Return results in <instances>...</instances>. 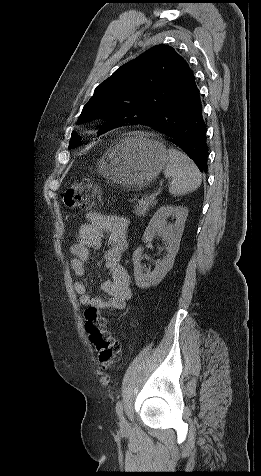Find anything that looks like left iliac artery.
<instances>
[{
    "label": "left iliac artery",
    "instance_id": "1",
    "mask_svg": "<svg viewBox=\"0 0 261 476\" xmlns=\"http://www.w3.org/2000/svg\"><path fill=\"white\" fill-rule=\"evenodd\" d=\"M116 412H117L118 416H120V417L123 415V403H122V401L117 402Z\"/></svg>",
    "mask_w": 261,
    "mask_h": 476
}]
</instances>
